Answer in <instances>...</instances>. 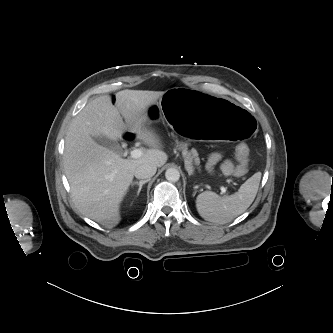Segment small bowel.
<instances>
[{"instance_id": "small-bowel-1", "label": "small bowel", "mask_w": 333, "mask_h": 333, "mask_svg": "<svg viewBox=\"0 0 333 333\" xmlns=\"http://www.w3.org/2000/svg\"><path fill=\"white\" fill-rule=\"evenodd\" d=\"M219 158V155L218 154H214L212 155L211 157V162L214 163L215 161H217ZM223 170L224 172L226 173H229L231 170H232V163L231 162H226L224 165H223Z\"/></svg>"}]
</instances>
